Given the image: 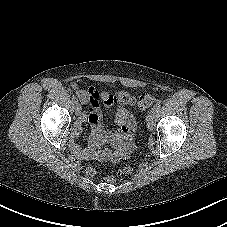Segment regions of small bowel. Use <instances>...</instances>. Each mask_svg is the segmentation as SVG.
Segmentation results:
<instances>
[{
    "label": "small bowel",
    "instance_id": "1",
    "mask_svg": "<svg viewBox=\"0 0 227 227\" xmlns=\"http://www.w3.org/2000/svg\"><path fill=\"white\" fill-rule=\"evenodd\" d=\"M77 94L86 109L71 130L70 150L73 155L83 159L119 160L126 158L133 149L132 132L135 129L133 114L123 106L124 104L115 100V94L106 91L99 92L94 87L79 90ZM99 100L106 107H116L114 118L116 129L112 133H108L104 129L103 116L99 111ZM131 103L132 101L128 104ZM85 121H88L92 126L88 148H83L76 142ZM107 142L114 147V150L101 148Z\"/></svg>",
    "mask_w": 227,
    "mask_h": 227
}]
</instances>
